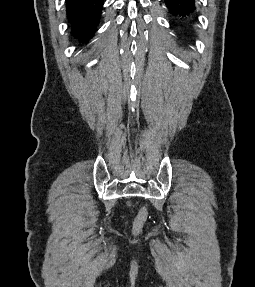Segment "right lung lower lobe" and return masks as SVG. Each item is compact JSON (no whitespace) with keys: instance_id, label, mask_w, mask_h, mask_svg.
Returning <instances> with one entry per match:
<instances>
[{"instance_id":"right-lung-lower-lobe-1","label":"right lung lower lobe","mask_w":255,"mask_h":287,"mask_svg":"<svg viewBox=\"0 0 255 287\" xmlns=\"http://www.w3.org/2000/svg\"><path fill=\"white\" fill-rule=\"evenodd\" d=\"M103 0H67L66 12L72 34L87 41L96 31Z\"/></svg>"}]
</instances>
